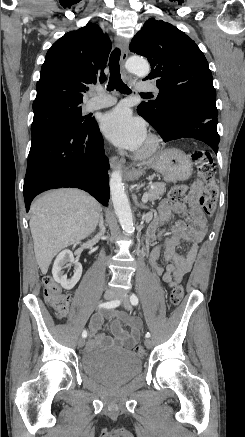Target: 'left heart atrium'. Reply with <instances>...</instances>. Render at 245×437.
<instances>
[{
  "label": "left heart atrium",
  "mask_w": 245,
  "mask_h": 437,
  "mask_svg": "<svg viewBox=\"0 0 245 437\" xmlns=\"http://www.w3.org/2000/svg\"><path fill=\"white\" fill-rule=\"evenodd\" d=\"M104 135L115 145L137 150L145 140L143 122L132 116L127 107L120 106L105 113L100 121Z\"/></svg>",
  "instance_id": "39dd6f15"
}]
</instances>
